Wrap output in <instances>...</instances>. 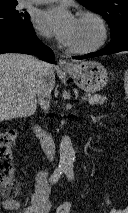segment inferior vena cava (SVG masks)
Segmentation results:
<instances>
[{
    "instance_id": "602c4592",
    "label": "inferior vena cava",
    "mask_w": 128,
    "mask_h": 213,
    "mask_svg": "<svg viewBox=\"0 0 128 213\" xmlns=\"http://www.w3.org/2000/svg\"><path fill=\"white\" fill-rule=\"evenodd\" d=\"M37 66L39 71V80L37 84L38 102L41 108L45 111V113H48L52 98L51 97L52 88L48 84L47 77L49 75L52 65L42 61H38Z\"/></svg>"
}]
</instances>
